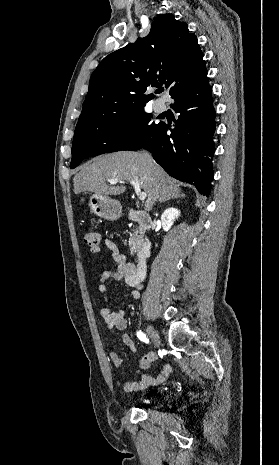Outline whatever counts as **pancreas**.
Instances as JSON below:
<instances>
[{
  "mask_svg": "<svg viewBox=\"0 0 279 465\" xmlns=\"http://www.w3.org/2000/svg\"><path fill=\"white\" fill-rule=\"evenodd\" d=\"M139 233V228H135L133 230V234L129 238V247L131 254H133L138 247L140 246L142 242V237L138 234Z\"/></svg>",
  "mask_w": 279,
  "mask_h": 465,
  "instance_id": "cf45deb5",
  "label": "pancreas"
}]
</instances>
